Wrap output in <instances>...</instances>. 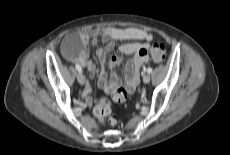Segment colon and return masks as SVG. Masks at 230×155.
Segmentation results:
<instances>
[{
	"label": "colon",
	"instance_id": "obj_1",
	"mask_svg": "<svg viewBox=\"0 0 230 155\" xmlns=\"http://www.w3.org/2000/svg\"><path fill=\"white\" fill-rule=\"evenodd\" d=\"M72 46L79 49L81 42L79 39H75L72 42ZM152 59L160 63L165 58V47L163 43H155L151 47ZM111 100L115 102V97H111ZM94 115L99 122L107 124L109 126H115L118 123V118L111 113V101L107 98H101L94 107Z\"/></svg>",
	"mask_w": 230,
	"mask_h": 155
}]
</instances>
